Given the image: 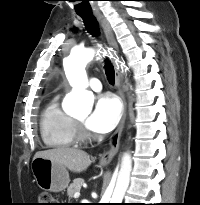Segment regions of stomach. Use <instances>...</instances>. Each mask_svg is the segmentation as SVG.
<instances>
[{
  "label": "stomach",
  "mask_w": 200,
  "mask_h": 205,
  "mask_svg": "<svg viewBox=\"0 0 200 205\" xmlns=\"http://www.w3.org/2000/svg\"><path fill=\"white\" fill-rule=\"evenodd\" d=\"M31 169L38 186L43 190L61 192L70 182L67 169L50 159L34 158Z\"/></svg>",
  "instance_id": "1"
}]
</instances>
